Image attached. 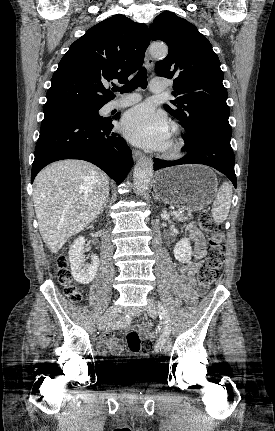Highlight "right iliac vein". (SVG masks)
Masks as SVG:
<instances>
[{"instance_id": "obj_1", "label": "right iliac vein", "mask_w": 275, "mask_h": 431, "mask_svg": "<svg viewBox=\"0 0 275 431\" xmlns=\"http://www.w3.org/2000/svg\"><path fill=\"white\" fill-rule=\"evenodd\" d=\"M118 314V309L116 306H111L110 308L107 309V311L105 312V314L101 317V319L98 322V329L99 330H103L106 326V324L113 320Z\"/></svg>"}]
</instances>
